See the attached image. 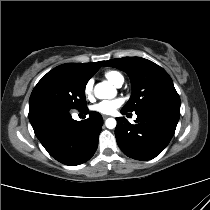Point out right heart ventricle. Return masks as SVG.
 Returning a JSON list of instances; mask_svg holds the SVG:
<instances>
[{
	"label": "right heart ventricle",
	"instance_id": "1",
	"mask_svg": "<svg viewBox=\"0 0 210 210\" xmlns=\"http://www.w3.org/2000/svg\"><path fill=\"white\" fill-rule=\"evenodd\" d=\"M104 76L112 84L117 85L120 82H123V76L120 72L115 70H108L104 73Z\"/></svg>",
	"mask_w": 210,
	"mask_h": 210
}]
</instances>
